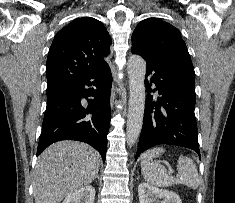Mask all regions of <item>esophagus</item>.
<instances>
[{
    "label": "esophagus",
    "instance_id": "1",
    "mask_svg": "<svg viewBox=\"0 0 235 203\" xmlns=\"http://www.w3.org/2000/svg\"><path fill=\"white\" fill-rule=\"evenodd\" d=\"M114 97H115V95H114V93L112 92V93H111V99H110L111 106H113V104H114Z\"/></svg>",
    "mask_w": 235,
    "mask_h": 203
}]
</instances>
